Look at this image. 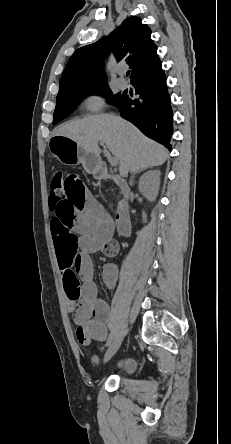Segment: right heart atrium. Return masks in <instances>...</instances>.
Instances as JSON below:
<instances>
[{"instance_id": "1", "label": "right heart atrium", "mask_w": 231, "mask_h": 444, "mask_svg": "<svg viewBox=\"0 0 231 444\" xmlns=\"http://www.w3.org/2000/svg\"><path fill=\"white\" fill-rule=\"evenodd\" d=\"M105 104V98L101 93L92 92L87 94L83 101V109L87 112H97L100 111Z\"/></svg>"}]
</instances>
